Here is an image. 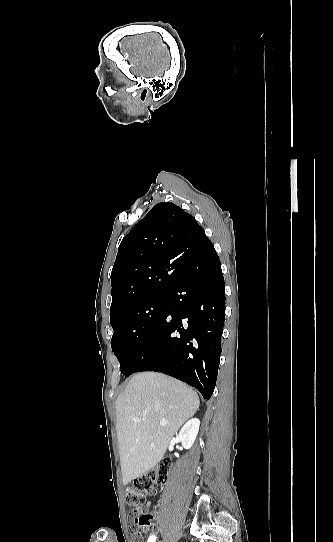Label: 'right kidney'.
Listing matches in <instances>:
<instances>
[{
  "label": "right kidney",
  "instance_id": "obj_1",
  "mask_svg": "<svg viewBox=\"0 0 333 542\" xmlns=\"http://www.w3.org/2000/svg\"><path fill=\"white\" fill-rule=\"evenodd\" d=\"M199 426L200 420H198V418H192V420H189V422L181 428L178 440L185 450H190V448H192L199 432Z\"/></svg>",
  "mask_w": 333,
  "mask_h": 542
}]
</instances>
